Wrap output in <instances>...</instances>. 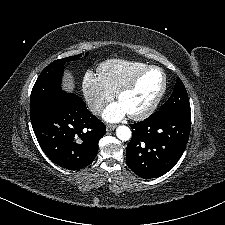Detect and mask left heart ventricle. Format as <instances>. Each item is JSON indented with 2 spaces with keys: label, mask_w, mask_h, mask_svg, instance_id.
<instances>
[{
  "label": "left heart ventricle",
  "mask_w": 225,
  "mask_h": 225,
  "mask_svg": "<svg viewBox=\"0 0 225 225\" xmlns=\"http://www.w3.org/2000/svg\"><path fill=\"white\" fill-rule=\"evenodd\" d=\"M162 75L156 70L148 71L137 87L121 97L119 103L127 114H138L145 110L161 89Z\"/></svg>",
  "instance_id": "1"
}]
</instances>
